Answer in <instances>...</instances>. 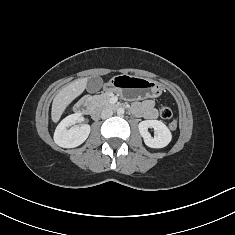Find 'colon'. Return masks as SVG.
Masks as SVG:
<instances>
[{"mask_svg":"<svg viewBox=\"0 0 235 235\" xmlns=\"http://www.w3.org/2000/svg\"><path fill=\"white\" fill-rule=\"evenodd\" d=\"M160 116L162 117V118H164V119H169V118H171V116H172V111H171V109L169 108V107H167V106H162L161 108H160ZM169 128L171 129V130H175L176 128H177V123H176V121H172V122H170V124H169Z\"/></svg>","mask_w":235,"mask_h":235,"instance_id":"5ec220e1","label":"colon"}]
</instances>
